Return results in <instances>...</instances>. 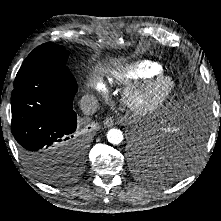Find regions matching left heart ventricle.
<instances>
[{
	"instance_id": "obj_1",
	"label": "left heart ventricle",
	"mask_w": 221,
	"mask_h": 221,
	"mask_svg": "<svg viewBox=\"0 0 221 221\" xmlns=\"http://www.w3.org/2000/svg\"><path fill=\"white\" fill-rule=\"evenodd\" d=\"M162 87H158L157 89H156V91L154 92V95H158V94H160L161 92H162Z\"/></svg>"
}]
</instances>
